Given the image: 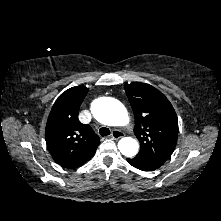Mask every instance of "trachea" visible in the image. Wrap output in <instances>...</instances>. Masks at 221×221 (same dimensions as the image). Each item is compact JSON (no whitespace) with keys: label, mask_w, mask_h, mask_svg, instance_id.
Listing matches in <instances>:
<instances>
[{"label":"trachea","mask_w":221,"mask_h":221,"mask_svg":"<svg viewBox=\"0 0 221 221\" xmlns=\"http://www.w3.org/2000/svg\"><path fill=\"white\" fill-rule=\"evenodd\" d=\"M99 133L102 137L110 135V130L106 127H102L99 129Z\"/></svg>","instance_id":"1"}]
</instances>
